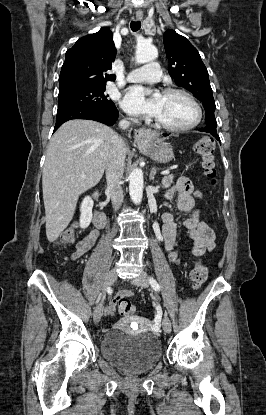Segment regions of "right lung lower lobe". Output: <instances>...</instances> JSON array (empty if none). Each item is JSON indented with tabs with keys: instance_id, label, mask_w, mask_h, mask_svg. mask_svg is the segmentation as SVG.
I'll use <instances>...</instances> for the list:
<instances>
[{
	"instance_id": "98d812e1",
	"label": "right lung lower lobe",
	"mask_w": 266,
	"mask_h": 415,
	"mask_svg": "<svg viewBox=\"0 0 266 415\" xmlns=\"http://www.w3.org/2000/svg\"><path fill=\"white\" fill-rule=\"evenodd\" d=\"M117 108L98 109L91 107L68 106L58 108L56 125L54 131L57 130L64 122L72 119H88L101 122L108 126L113 125L118 118Z\"/></svg>"
}]
</instances>
